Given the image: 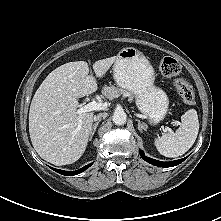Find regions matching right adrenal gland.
<instances>
[{
    "label": "right adrenal gland",
    "mask_w": 221,
    "mask_h": 221,
    "mask_svg": "<svg viewBox=\"0 0 221 221\" xmlns=\"http://www.w3.org/2000/svg\"><path fill=\"white\" fill-rule=\"evenodd\" d=\"M99 123H100V121H97V122H95V123L93 124L92 129H91L90 139H89V140H91L92 137H93V135L95 134L96 129H97Z\"/></svg>",
    "instance_id": "obj_1"
}]
</instances>
